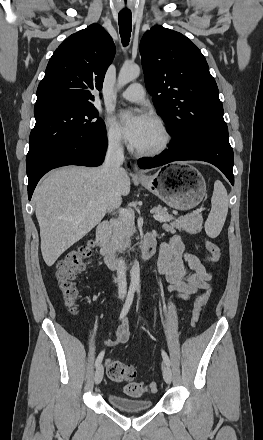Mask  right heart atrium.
<instances>
[{
	"instance_id": "1",
	"label": "right heart atrium",
	"mask_w": 263,
	"mask_h": 440,
	"mask_svg": "<svg viewBox=\"0 0 263 440\" xmlns=\"http://www.w3.org/2000/svg\"><path fill=\"white\" fill-rule=\"evenodd\" d=\"M105 139L112 148H120L123 145L122 135L111 119L106 121Z\"/></svg>"
}]
</instances>
